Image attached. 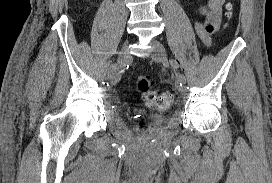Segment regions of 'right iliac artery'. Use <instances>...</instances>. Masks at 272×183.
I'll return each mask as SVG.
<instances>
[{
  "label": "right iliac artery",
  "mask_w": 272,
  "mask_h": 183,
  "mask_svg": "<svg viewBox=\"0 0 272 183\" xmlns=\"http://www.w3.org/2000/svg\"><path fill=\"white\" fill-rule=\"evenodd\" d=\"M115 66H116V64H113V65L110 67V69H114Z\"/></svg>",
  "instance_id": "82829eb1"
}]
</instances>
